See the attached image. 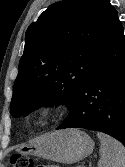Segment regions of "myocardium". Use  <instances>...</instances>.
Wrapping results in <instances>:
<instances>
[{"label":"myocardium","instance_id":"myocardium-1","mask_svg":"<svg viewBox=\"0 0 125 167\" xmlns=\"http://www.w3.org/2000/svg\"><path fill=\"white\" fill-rule=\"evenodd\" d=\"M57 108L51 103L40 106L32 115V123L35 127L43 128L48 126L56 117Z\"/></svg>","mask_w":125,"mask_h":167}]
</instances>
